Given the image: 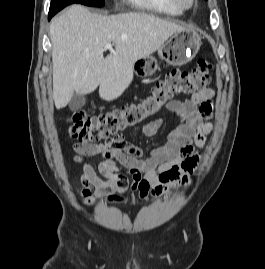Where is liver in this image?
<instances>
[{
	"label": "liver",
	"instance_id": "liver-1",
	"mask_svg": "<svg viewBox=\"0 0 265 269\" xmlns=\"http://www.w3.org/2000/svg\"><path fill=\"white\" fill-rule=\"evenodd\" d=\"M185 27L146 13L101 15L74 4L50 24L53 62V98L65 107L74 93L85 95L99 87L112 101L133 80V64L158 50ZM115 49L106 58L104 47Z\"/></svg>",
	"mask_w": 265,
	"mask_h": 269
}]
</instances>
